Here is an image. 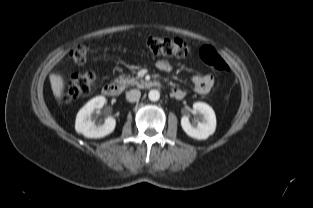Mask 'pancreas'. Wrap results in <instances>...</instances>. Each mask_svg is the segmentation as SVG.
Instances as JSON below:
<instances>
[{
    "label": "pancreas",
    "instance_id": "obj_1",
    "mask_svg": "<svg viewBox=\"0 0 313 208\" xmlns=\"http://www.w3.org/2000/svg\"><path fill=\"white\" fill-rule=\"evenodd\" d=\"M116 82L123 85V86H127V85H138V78H130L129 76H125L120 75L118 79H116Z\"/></svg>",
    "mask_w": 313,
    "mask_h": 208
}]
</instances>
